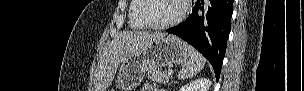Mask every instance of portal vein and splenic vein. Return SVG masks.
<instances>
[{
    "label": "portal vein and splenic vein",
    "instance_id": "obj_1",
    "mask_svg": "<svg viewBox=\"0 0 304 91\" xmlns=\"http://www.w3.org/2000/svg\"><path fill=\"white\" fill-rule=\"evenodd\" d=\"M168 74H169V75H172V74H173V70H171V69L168 70Z\"/></svg>",
    "mask_w": 304,
    "mask_h": 91
}]
</instances>
